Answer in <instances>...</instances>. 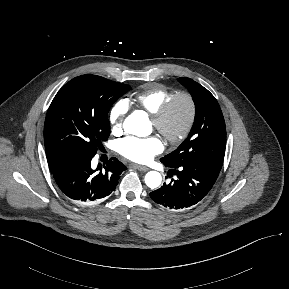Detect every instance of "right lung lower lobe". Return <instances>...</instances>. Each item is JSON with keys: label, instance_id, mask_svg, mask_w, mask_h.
Listing matches in <instances>:
<instances>
[{"label": "right lung lower lobe", "instance_id": "98d812e1", "mask_svg": "<svg viewBox=\"0 0 289 289\" xmlns=\"http://www.w3.org/2000/svg\"><path fill=\"white\" fill-rule=\"evenodd\" d=\"M91 154L70 155L49 163L50 171L63 194L76 203H91L110 195L118 184L119 175L127 167L116 158L93 169Z\"/></svg>", "mask_w": 289, "mask_h": 289}]
</instances>
